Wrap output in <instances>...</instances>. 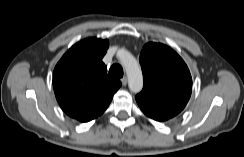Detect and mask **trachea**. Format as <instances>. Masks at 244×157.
Returning <instances> with one entry per match:
<instances>
[{"label":"trachea","instance_id":"3493384b","mask_svg":"<svg viewBox=\"0 0 244 157\" xmlns=\"http://www.w3.org/2000/svg\"><path fill=\"white\" fill-rule=\"evenodd\" d=\"M109 74L115 78L123 77V68L119 64H114L109 69Z\"/></svg>","mask_w":244,"mask_h":157}]
</instances>
